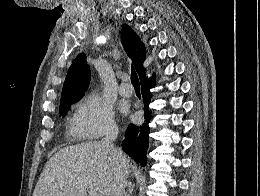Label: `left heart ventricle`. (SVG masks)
Wrapping results in <instances>:
<instances>
[{
    "label": "left heart ventricle",
    "mask_w": 260,
    "mask_h": 196,
    "mask_svg": "<svg viewBox=\"0 0 260 196\" xmlns=\"http://www.w3.org/2000/svg\"><path fill=\"white\" fill-rule=\"evenodd\" d=\"M98 192H106V190H96ZM55 192H66V190H55Z\"/></svg>",
    "instance_id": "b2bd125f"
}]
</instances>
